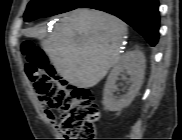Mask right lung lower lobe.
I'll list each match as a JSON object with an SVG mask.
<instances>
[{
    "label": "right lung lower lobe",
    "instance_id": "98d812e1",
    "mask_svg": "<svg viewBox=\"0 0 182 140\" xmlns=\"http://www.w3.org/2000/svg\"><path fill=\"white\" fill-rule=\"evenodd\" d=\"M79 8H92L113 14L138 31L151 46L158 42V0H87Z\"/></svg>",
    "mask_w": 182,
    "mask_h": 140
}]
</instances>
